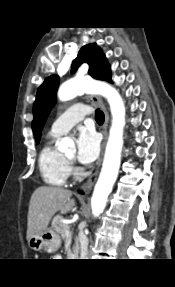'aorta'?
Wrapping results in <instances>:
<instances>
[{
  "mask_svg": "<svg viewBox=\"0 0 175 287\" xmlns=\"http://www.w3.org/2000/svg\"><path fill=\"white\" fill-rule=\"evenodd\" d=\"M81 92H96L105 97L110 105L112 123L105 149L104 160L98 181L91 198V209L94 217L99 216L105 209L107 198L117 179L121 152L123 147V131L125 126V106L119 92L111 85L103 82L88 83L84 79L74 78L62 84L58 90L60 101L75 98ZM58 150L66 152L75 150L74 142L64 137L58 142Z\"/></svg>",
  "mask_w": 175,
  "mask_h": 287,
  "instance_id": "762f6f07",
  "label": "aorta"
}]
</instances>
